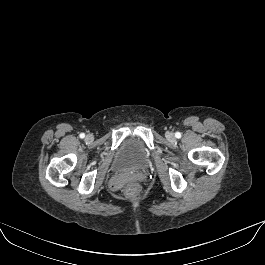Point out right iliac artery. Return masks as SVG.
Masks as SVG:
<instances>
[{
	"mask_svg": "<svg viewBox=\"0 0 265 265\" xmlns=\"http://www.w3.org/2000/svg\"><path fill=\"white\" fill-rule=\"evenodd\" d=\"M79 136H80V138H84L85 137V134L84 133H81Z\"/></svg>",
	"mask_w": 265,
	"mask_h": 265,
	"instance_id": "82829eb1",
	"label": "right iliac artery"
}]
</instances>
